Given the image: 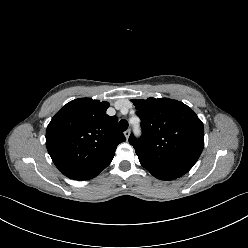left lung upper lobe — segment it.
I'll return each mask as SVG.
<instances>
[{
	"mask_svg": "<svg viewBox=\"0 0 248 248\" xmlns=\"http://www.w3.org/2000/svg\"><path fill=\"white\" fill-rule=\"evenodd\" d=\"M141 119L142 136L129 137L139 161L152 174L181 177L204 147V127L184 103L168 98L132 100Z\"/></svg>",
	"mask_w": 248,
	"mask_h": 248,
	"instance_id": "5c2ea615",
	"label": "left lung upper lobe"
}]
</instances>
